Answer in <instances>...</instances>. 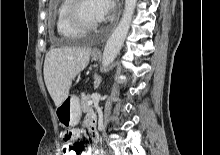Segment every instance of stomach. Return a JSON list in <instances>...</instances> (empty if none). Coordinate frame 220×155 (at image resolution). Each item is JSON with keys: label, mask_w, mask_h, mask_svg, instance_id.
<instances>
[{"label": "stomach", "mask_w": 220, "mask_h": 155, "mask_svg": "<svg viewBox=\"0 0 220 155\" xmlns=\"http://www.w3.org/2000/svg\"><path fill=\"white\" fill-rule=\"evenodd\" d=\"M97 58L96 55H93ZM59 123L64 126H76L81 117L80 102L76 96L68 95L56 109Z\"/></svg>", "instance_id": "0dacf381"}]
</instances>
